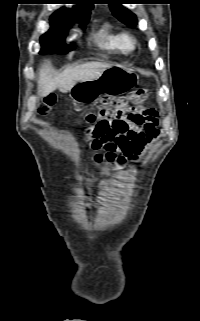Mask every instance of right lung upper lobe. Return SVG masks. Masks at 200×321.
Wrapping results in <instances>:
<instances>
[{"instance_id": "1", "label": "right lung upper lobe", "mask_w": 200, "mask_h": 321, "mask_svg": "<svg viewBox=\"0 0 200 321\" xmlns=\"http://www.w3.org/2000/svg\"><path fill=\"white\" fill-rule=\"evenodd\" d=\"M79 1H90V0H79ZM93 8L91 2H83L81 6L74 7L73 9L62 8L55 11L51 16L56 18L68 17L74 15H84L89 14L90 10Z\"/></svg>"}]
</instances>
